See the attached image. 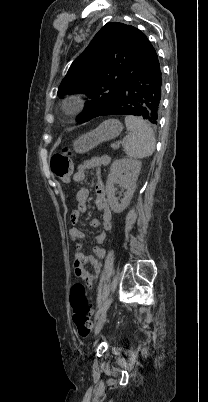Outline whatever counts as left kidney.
Here are the masks:
<instances>
[{
	"label": "left kidney",
	"mask_w": 208,
	"mask_h": 402,
	"mask_svg": "<svg viewBox=\"0 0 208 402\" xmlns=\"http://www.w3.org/2000/svg\"><path fill=\"white\" fill-rule=\"evenodd\" d=\"M141 170V162L139 160H132V158H122V160H115L110 168V174L106 182L107 200L111 210L114 214H120L127 208L132 196L135 192L138 174ZM114 184H120V188H124L122 200L115 198Z\"/></svg>",
	"instance_id": "left-kidney-1"
}]
</instances>
